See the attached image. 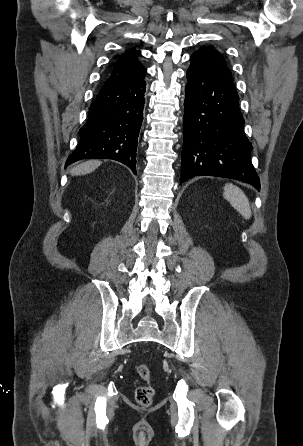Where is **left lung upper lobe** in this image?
<instances>
[{
    "mask_svg": "<svg viewBox=\"0 0 303 446\" xmlns=\"http://www.w3.org/2000/svg\"><path fill=\"white\" fill-rule=\"evenodd\" d=\"M192 55L204 57L213 67L232 78V73L227 65V62L216 48L212 46H203Z\"/></svg>",
    "mask_w": 303,
    "mask_h": 446,
    "instance_id": "obj_1",
    "label": "left lung upper lobe"
}]
</instances>
